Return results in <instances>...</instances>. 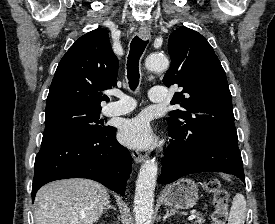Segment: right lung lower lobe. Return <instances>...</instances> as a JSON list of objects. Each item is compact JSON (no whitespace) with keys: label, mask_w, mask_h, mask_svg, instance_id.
I'll use <instances>...</instances> for the list:
<instances>
[{"label":"right lung lower lobe","mask_w":275,"mask_h":224,"mask_svg":"<svg viewBox=\"0 0 275 224\" xmlns=\"http://www.w3.org/2000/svg\"><path fill=\"white\" fill-rule=\"evenodd\" d=\"M115 132L108 126L100 135L44 134L35 159L32 201L41 186L66 178L92 179L124 195L131 157Z\"/></svg>","instance_id":"right-lung-lower-lobe-1"}]
</instances>
